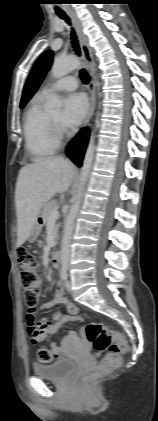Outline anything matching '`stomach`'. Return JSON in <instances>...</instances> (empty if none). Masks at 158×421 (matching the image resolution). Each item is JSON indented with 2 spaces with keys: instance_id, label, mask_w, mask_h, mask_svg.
Instances as JSON below:
<instances>
[{
  "instance_id": "1",
  "label": "stomach",
  "mask_w": 158,
  "mask_h": 421,
  "mask_svg": "<svg viewBox=\"0 0 158 421\" xmlns=\"http://www.w3.org/2000/svg\"><path fill=\"white\" fill-rule=\"evenodd\" d=\"M41 229H42V220H41V217H38L36 219V221L34 222V225H33L32 229H31V232L28 236V241L34 242L37 239V237L39 236V234L41 232Z\"/></svg>"
}]
</instances>
